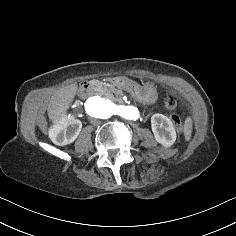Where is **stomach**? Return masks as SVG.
Here are the masks:
<instances>
[{
	"mask_svg": "<svg viewBox=\"0 0 236 236\" xmlns=\"http://www.w3.org/2000/svg\"><path fill=\"white\" fill-rule=\"evenodd\" d=\"M117 87L123 92L128 93L133 99H138L139 103L143 105L152 106L158 100V88L152 82H145L141 86L137 83L127 80L126 78H119L117 80Z\"/></svg>",
	"mask_w": 236,
	"mask_h": 236,
	"instance_id": "obj_1",
	"label": "stomach"
}]
</instances>
